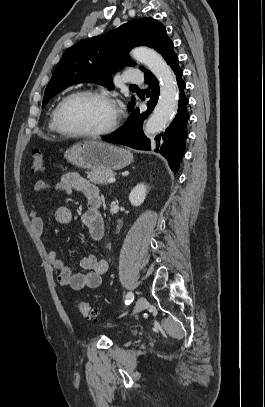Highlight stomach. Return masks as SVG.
Returning a JSON list of instances; mask_svg holds the SVG:
<instances>
[{
  "label": "stomach",
  "instance_id": "stomach-1",
  "mask_svg": "<svg viewBox=\"0 0 265 407\" xmlns=\"http://www.w3.org/2000/svg\"><path fill=\"white\" fill-rule=\"evenodd\" d=\"M65 158L71 164L92 170H118L133 161L130 151L101 141H84L70 147Z\"/></svg>",
  "mask_w": 265,
  "mask_h": 407
}]
</instances>
